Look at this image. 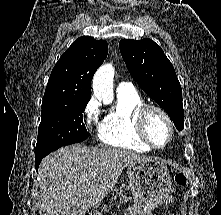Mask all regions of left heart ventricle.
<instances>
[{
  "label": "left heart ventricle",
  "instance_id": "b2bd125f",
  "mask_svg": "<svg viewBox=\"0 0 221 215\" xmlns=\"http://www.w3.org/2000/svg\"><path fill=\"white\" fill-rule=\"evenodd\" d=\"M147 133L158 146L164 145L169 137V127L165 119L157 112H151L147 118Z\"/></svg>",
  "mask_w": 221,
  "mask_h": 215
}]
</instances>
